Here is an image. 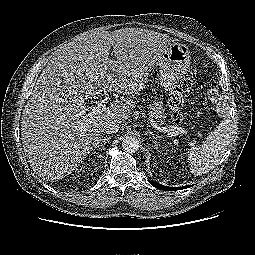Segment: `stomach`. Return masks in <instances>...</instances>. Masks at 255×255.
Masks as SVG:
<instances>
[{"label":"stomach","instance_id":"obj_1","mask_svg":"<svg viewBox=\"0 0 255 255\" xmlns=\"http://www.w3.org/2000/svg\"><path fill=\"white\" fill-rule=\"evenodd\" d=\"M189 48L181 43L170 44L158 61L160 67V83L166 91L171 92L178 81L184 77L190 65Z\"/></svg>","mask_w":255,"mask_h":255}]
</instances>
